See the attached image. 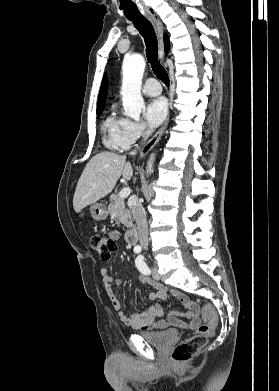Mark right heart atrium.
<instances>
[{"label": "right heart atrium", "instance_id": "1", "mask_svg": "<svg viewBox=\"0 0 279 391\" xmlns=\"http://www.w3.org/2000/svg\"><path fill=\"white\" fill-rule=\"evenodd\" d=\"M147 133L146 126L142 122L125 119L123 134L126 145L130 146L142 139Z\"/></svg>", "mask_w": 279, "mask_h": 391}]
</instances>
